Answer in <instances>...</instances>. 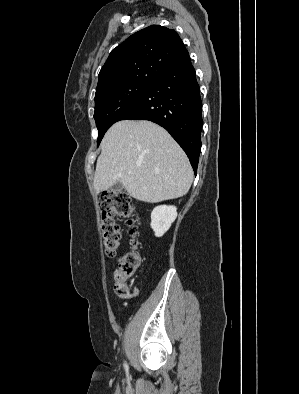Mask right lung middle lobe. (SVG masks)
<instances>
[{
	"label": "right lung middle lobe",
	"mask_w": 299,
	"mask_h": 394,
	"mask_svg": "<svg viewBox=\"0 0 299 394\" xmlns=\"http://www.w3.org/2000/svg\"><path fill=\"white\" fill-rule=\"evenodd\" d=\"M151 83L130 82L95 96L94 118L98 129L97 146L112 124L135 103Z\"/></svg>",
	"instance_id": "right-lung-middle-lobe-1"
}]
</instances>
